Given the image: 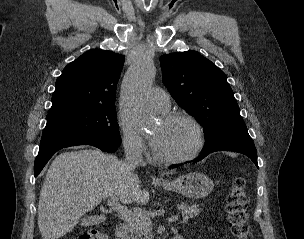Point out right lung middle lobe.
<instances>
[{
	"mask_svg": "<svg viewBox=\"0 0 304 239\" xmlns=\"http://www.w3.org/2000/svg\"><path fill=\"white\" fill-rule=\"evenodd\" d=\"M92 137L121 144L115 105L66 109L48 113L42 139Z\"/></svg>",
	"mask_w": 304,
	"mask_h": 239,
	"instance_id": "dd1d6c3e",
	"label": "right lung middle lobe"
}]
</instances>
